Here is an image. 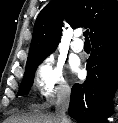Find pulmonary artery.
<instances>
[{
  "label": "pulmonary artery",
  "mask_w": 118,
  "mask_h": 123,
  "mask_svg": "<svg viewBox=\"0 0 118 123\" xmlns=\"http://www.w3.org/2000/svg\"><path fill=\"white\" fill-rule=\"evenodd\" d=\"M71 48L74 52H77V53H80L83 51L84 44H83V41L80 39V33L79 32H77L75 34V37L71 43Z\"/></svg>",
  "instance_id": "obj_1"
}]
</instances>
